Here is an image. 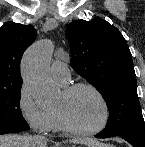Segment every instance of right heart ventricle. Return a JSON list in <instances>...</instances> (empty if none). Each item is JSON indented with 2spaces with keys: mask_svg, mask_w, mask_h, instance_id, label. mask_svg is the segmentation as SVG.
<instances>
[{
  "mask_svg": "<svg viewBox=\"0 0 145 147\" xmlns=\"http://www.w3.org/2000/svg\"><path fill=\"white\" fill-rule=\"evenodd\" d=\"M51 111H52V115H53V129L54 130H61V127L59 125L55 111L54 110H51Z\"/></svg>",
  "mask_w": 145,
  "mask_h": 147,
  "instance_id": "right-heart-ventricle-1",
  "label": "right heart ventricle"
}]
</instances>
